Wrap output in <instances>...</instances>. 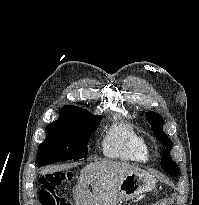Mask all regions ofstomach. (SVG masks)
Instances as JSON below:
<instances>
[{
	"label": "stomach",
	"instance_id": "0dacf381",
	"mask_svg": "<svg viewBox=\"0 0 199 205\" xmlns=\"http://www.w3.org/2000/svg\"><path fill=\"white\" fill-rule=\"evenodd\" d=\"M154 188L155 180L149 173L145 171L129 173L121 181L118 200L120 203L131 200Z\"/></svg>",
	"mask_w": 199,
	"mask_h": 205
}]
</instances>
